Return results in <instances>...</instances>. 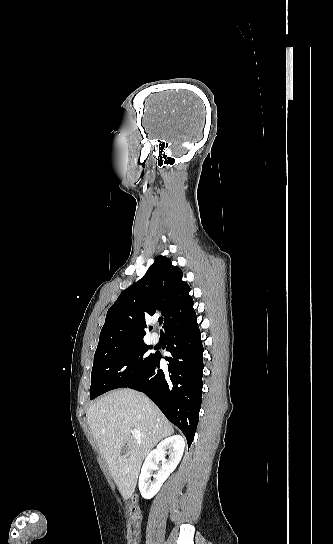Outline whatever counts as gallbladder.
I'll return each instance as SVG.
<instances>
[{"label":"gallbladder","mask_w":333,"mask_h":544,"mask_svg":"<svg viewBox=\"0 0 333 544\" xmlns=\"http://www.w3.org/2000/svg\"><path fill=\"white\" fill-rule=\"evenodd\" d=\"M127 453H128V447L125 445V446L121 449V455H122V456H125Z\"/></svg>","instance_id":"gallbladder-1"}]
</instances>
